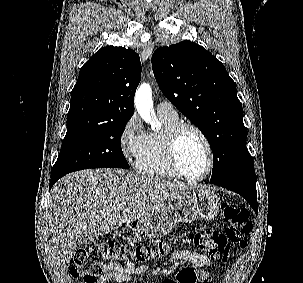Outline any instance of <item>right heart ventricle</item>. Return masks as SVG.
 Returning a JSON list of instances; mask_svg holds the SVG:
<instances>
[{
  "label": "right heart ventricle",
  "instance_id": "obj_1",
  "mask_svg": "<svg viewBox=\"0 0 303 283\" xmlns=\"http://www.w3.org/2000/svg\"><path fill=\"white\" fill-rule=\"evenodd\" d=\"M162 128L146 135L142 150L135 161L136 170L143 176L156 179H177L171 169L165 149V134L179 122L178 115L158 113Z\"/></svg>",
  "mask_w": 303,
  "mask_h": 283
}]
</instances>
